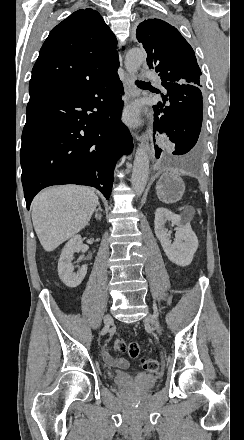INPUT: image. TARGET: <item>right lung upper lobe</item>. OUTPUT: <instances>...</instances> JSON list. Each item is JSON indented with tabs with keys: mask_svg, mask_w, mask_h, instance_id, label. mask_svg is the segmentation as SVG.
Wrapping results in <instances>:
<instances>
[{
	"mask_svg": "<svg viewBox=\"0 0 244 440\" xmlns=\"http://www.w3.org/2000/svg\"><path fill=\"white\" fill-rule=\"evenodd\" d=\"M117 40L91 8L74 12L52 29L40 49L29 82L30 96L73 89L119 67Z\"/></svg>",
	"mask_w": 244,
	"mask_h": 440,
	"instance_id": "right-lung-upper-lobe-1",
	"label": "right lung upper lobe"
}]
</instances>
